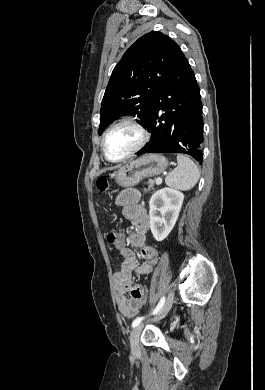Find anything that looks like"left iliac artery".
I'll list each match as a JSON object with an SVG mask.
<instances>
[{"mask_svg":"<svg viewBox=\"0 0 265 390\" xmlns=\"http://www.w3.org/2000/svg\"><path fill=\"white\" fill-rule=\"evenodd\" d=\"M164 302H165V297H162L161 300L159 301L158 305L156 306V308L154 309V311L152 312L153 315L157 314L161 308L163 307L164 305ZM144 319V317H138L136 318L133 322H132V327H136L138 326L141 321Z\"/></svg>","mask_w":265,"mask_h":390,"instance_id":"obj_1","label":"left iliac artery"}]
</instances>
